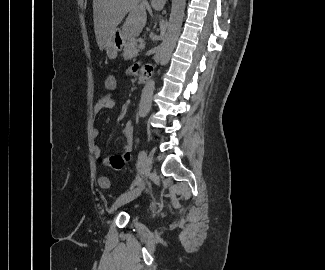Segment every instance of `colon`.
<instances>
[{"label": "colon", "mask_w": 325, "mask_h": 270, "mask_svg": "<svg viewBox=\"0 0 325 270\" xmlns=\"http://www.w3.org/2000/svg\"><path fill=\"white\" fill-rule=\"evenodd\" d=\"M118 86V81L114 75H107L104 79V89L109 93H112L116 90ZM99 185L103 189H107L110 186L109 179L105 176L99 178Z\"/></svg>", "instance_id": "colon-1"}]
</instances>
